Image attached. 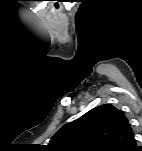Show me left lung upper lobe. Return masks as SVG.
<instances>
[{
	"label": "left lung upper lobe",
	"mask_w": 142,
	"mask_h": 151,
	"mask_svg": "<svg viewBox=\"0 0 142 151\" xmlns=\"http://www.w3.org/2000/svg\"><path fill=\"white\" fill-rule=\"evenodd\" d=\"M133 137L123 111L103 104L64 125L49 146L55 151H124Z\"/></svg>",
	"instance_id": "obj_1"
}]
</instances>
